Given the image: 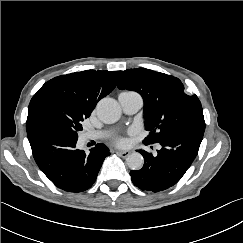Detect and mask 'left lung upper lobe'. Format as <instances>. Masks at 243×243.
I'll return each instance as SVG.
<instances>
[{
	"instance_id": "1",
	"label": "left lung upper lobe",
	"mask_w": 243,
	"mask_h": 243,
	"mask_svg": "<svg viewBox=\"0 0 243 243\" xmlns=\"http://www.w3.org/2000/svg\"><path fill=\"white\" fill-rule=\"evenodd\" d=\"M118 88L142 96L145 127L149 131L146 144L160 142L184 125L205 123L198 97L187 95L176 77L146 68L128 69L123 72Z\"/></svg>"
}]
</instances>
